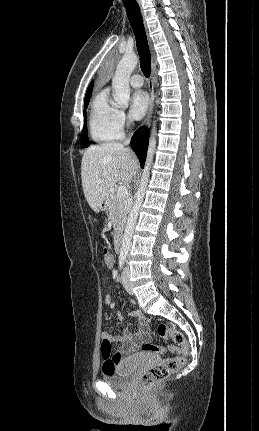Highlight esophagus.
Instances as JSON below:
<instances>
[{
  "mask_svg": "<svg viewBox=\"0 0 259 431\" xmlns=\"http://www.w3.org/2000/svg\"><path fill=\"white\" fill-rule=\"evenodd\" d=\"M140 9H141V13L143 16V10H142V6L140 4V0H138ZM143 21H144V25H145V29H146V33H147V39H148V44H149V48H150V53H151V73H150V78L148 81V88H149V93H150V101H149V107H148V111H147V115L144 119V126H149L150 122H151V117L153 114V108H154V100H155V91H154V87H155V74H156V65H157V61H156V55L152 46V41L148 35V31H147V26H146V22L144 20V16H143Z\"/></svg>",
  "mask_w": 259,
  "mask_h": 431,
  "instance_id": "obj_1",
  "label": "esophagus"
}]
</instances>
